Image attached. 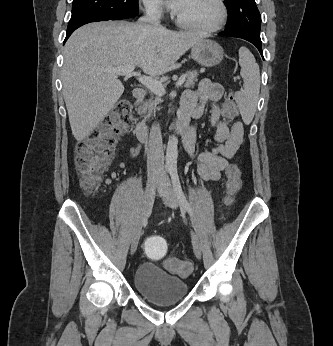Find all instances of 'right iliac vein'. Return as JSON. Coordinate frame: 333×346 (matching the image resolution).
<instances>
[{"label":"right iliac vein","mask_w":333,"mask_h":346,"mask_svg":"<svg viewBox=\"0 0 333 346\" xmlns=\"http://www.w3.org/2000/svg\"><path fill=\"white\" fill-rule=\"evenodd\" d=\"M158 179H159V176L153 177L152 181L149 183V185L146 188L143 201L141 204L139 216H138V219L133 231L132 239H131V254H134L137 249L140 236H141L142 226L153 205L156 182L158 181Z\"/></svg>","instance_id":"right-iliac-vein-1"}]
</instances>
